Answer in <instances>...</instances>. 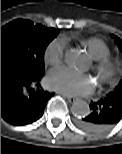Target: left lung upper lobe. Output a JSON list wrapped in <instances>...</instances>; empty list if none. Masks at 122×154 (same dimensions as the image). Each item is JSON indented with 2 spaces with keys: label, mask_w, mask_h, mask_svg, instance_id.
I'll return each instance as SVG.
<instances>
[{
  "label": "left lung upper lobe",
  "mask_w": 122,
  "mask_h": 154,
  "mask_svg": "<svg viewBox=\"0 0 122 154\" xmlns=\"http://www.w3.org/2000/svg\"><path fill=\"white\" fill-rule=\"evenodd\" d=\"M113 37H114L116 44L122 51V40L118 38L117 36H113ZM109 94L113 97V100H117L118 102L122 103V80L119 82L117 87Z\"/></svg>",
  "instance_id": "5c2ea615"
}]
</instances>
